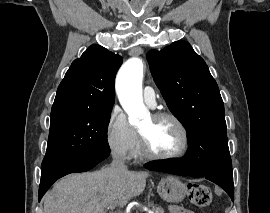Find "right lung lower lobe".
<instances>
[{
  "label": "right lung lower lobe",
  "mask_w": 270,
  "mask_h": 213,
  "mask_svg": "<svg viewBox=\"0 0 270 213\" xmlns=\"http://www.w3.org/2000/svg\"><path fill=\"white\" fill-rule=\"evenodd\" d=\"M109 156V153H98L88 158L66 160L47 163L41 167V182L39 187V201L49 187L59 178L77 172H85L95 167Z\"/></svg>",
  "instance_id": "98d812e1"
}]
</instances>
